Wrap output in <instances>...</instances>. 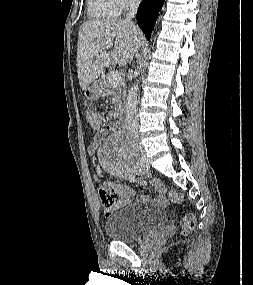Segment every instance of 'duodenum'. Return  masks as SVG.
Listing matches in <instances>:
<instances>
[{"label": "duodenum", "instance_id": "obj_1", "mask_svg": "<svg viewBox=\"0 0 253 285\" xmlns=\"http://www.w3.org/2000/svg\"><path fill=\"white\" fill-rule=\"evenodd\" d=\"M123 119V109L119 108L114 114L111 116L113 126H118Z\"/></svg>", "mask_w": 253, "mask_h": 285}]
</instances>
